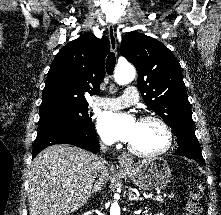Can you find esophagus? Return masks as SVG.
I'll return each instance as SVG.
<instances>
[{"label":"esophagus","mask_w":221,"mask_h":215,"mask_svg":"<svg viewBox=\"0 0 221 215\" xmlns=\"http://www.w3.org/2000/svg\"><path fill=\"white\" fill-rule=\"evenodd\" d=\"M108 37L110 41L111 51L113 53H117L118 41H117V37H116L113 25H109L108 27ZM118 162L121 167H128L132 164L133 158L128 154H121L118 157Z\"/></svg>","instance_id":"esophagus-1"}]
</instances>
